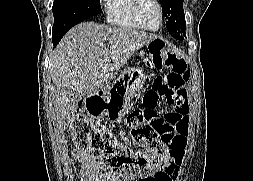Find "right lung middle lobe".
Here are the masks:
<instances>
[{
  "label": "right lung middle lobe",
  "instance_id": "right-lung-middle-lobe-1",
  "mask_svg": "<svg viewBox=\"0 0 253 181\" xmlns=\"http://www.w3.org/2000/svg\"><path fill=\"white\" fill-rule=\"evenodd\" d=\"M52 36L67 32L74 25L101 13L100 0H54Z\"/></svg>",
  "mask_w": 253,
  "mask_h": 181
}]
</instances>
